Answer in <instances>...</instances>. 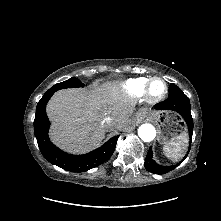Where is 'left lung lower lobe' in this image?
Masks as SVG:
<instances>
[{"label":"left lung lower lobe","instance_id":"obj_1","mask_svg":"<svg viewBox=\"0 0 221 221\" xmlns=\"http://www.w3.org/2000/svg\"><path fill=\"white\" fill-rule=\"evenodd\" d=\"M158 111H163V110H169V111H174L178 113L179 115L182 116L184 119L185 123L188 126V132H189V137H190V144L192 140V133H193V119L191 116V105L189 98L183 94V95H174L170 96L167 98L165 101L160 102L155 105L154 107ZM190 149V146H189ZM152 149L150 148L146 160H145V169L151 173L154 174H165L174 168H176L180 163L174 165V166H160L158 165L153 159H152ZM186 157L183 158V160Z\"/></svg>","mask_w":221,"mask_h":221}]
</instances>
